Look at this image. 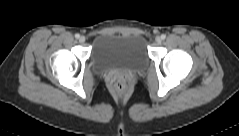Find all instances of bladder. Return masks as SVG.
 Instances as JSON below:
<instances>
[{
  "label": "bladder",
  "instance_id": "1",
  "mask_svg": "<svg viewBox=\"0 0 239 136\" xmlns=\"http://www.w3.org/2000/svg\"><path fill=\"white\" fill-rule=\"evenodd\" d=\"M91 55L99 71L139 70L149 59L147 42L137 34H99L92 41Z\"/></svg>",
  "mask_w": 239,
  "mask_h": 136
}]
</instances>
